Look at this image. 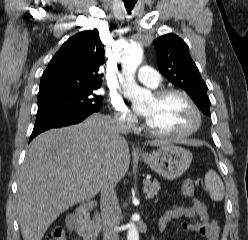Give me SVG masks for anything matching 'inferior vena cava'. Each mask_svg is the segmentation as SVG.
Here are the masks:
<instances>
[{
  "instance_id": "obj_1",
  "label": "inferior vena cava",
  "mask_w": 248,
  "mask_h": 240,
  "mask_svg": "<svg viewBox=\"0 0 248 240\" xmlns=\"http://www.w3.org/2000/svg\"><path fill=\"white\" fill-rule=\"evenodd\" d=\"M118 133L130 132L129 125L122 120L114 121ZM117 181L113 177L106 178L101 188L100 209L103 229V240H119L117 230L119 205L116 196Z\"/></svg>"
}]
</instances>
